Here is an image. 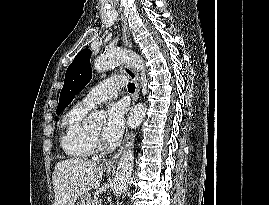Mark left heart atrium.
Returning <instances> with one entry per match:
<instances>
[{
    "label": "left heart atrium",
    "instance_id": "39dd6f15",
    "mask_svg": "<svg viewBox=\"0 0 269 205\" xmlns=\"http://www.w3.org/2000/svg\"><path fill=\"white\" fill-rule=\"evenodd\" d=\"M127 106L124 102H112L107 107V119L102 130L103 139L113 144L121 136L124 129V118Z\"/></svg>",
    "mask_w": 269,
    "mask_h": 205
}]
</instances>
